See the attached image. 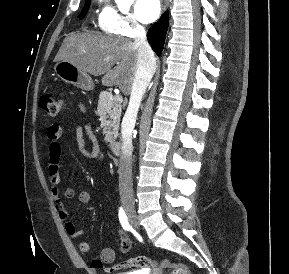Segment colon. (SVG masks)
I'll return each mask as SVG.
<instances>
[{"label":"colon","instance_id":"colon-1","mask_svg":"<svg viewBox=\"0 0 289 274\" xmlns=\"http://www.w3.org/2000/svg\"><path fill=\"white\" fill-rule=\"evenodd\" d=\"M39 105L48 115L56 116L61 111L63 102L61 99L54 97L51 94H44L40 98ZM93 267L104 268L108 272L131 270L147 273L150 270L163 271L170 269V274H191L189 267L184 264L175 263L168 259L155 261L146 256L132 257L110 267H104L100 260H93Z\"/></svg>","mask_w":289,"mask_h":274}]
</instances>
